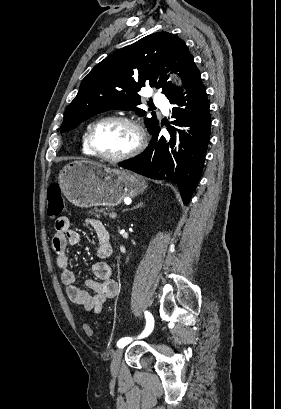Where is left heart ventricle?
<instances>
[{"label":"left heart ventricle","instance_id":"b2bd125f","mask_svg":"<svg viewBox=\"0 0 281 409\" xmlns=\"http://www.w3.org/2000/svg\"><path fill=\"white\" fill-rule=\"evenodd\" d=\"M137 133L122 122H109L100 127L96 136L97 149L107 156H119L135 146Z\"/></svg>","mask_w":281,"mask_h":409}]
</instances>
